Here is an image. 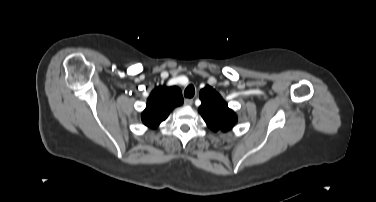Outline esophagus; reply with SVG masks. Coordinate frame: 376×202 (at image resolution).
Masks as SVG:
<instances>
[{
	"instance_id": "34e87169",
	"label": "esophagus",
	"mask_w": 376,
	"mask_h": 202,
	"mask_svg": "<svg viewBox=\"0 0 376 202\" xmlns=\"http://www.w3.org/2000/svg\"><path fill=\"white\" fill-rule=\"evenodd\" d=\"M184 104L187 106H191L193 104V99H189V98L184 99Z\"/></svg>"
}]
</instances>
